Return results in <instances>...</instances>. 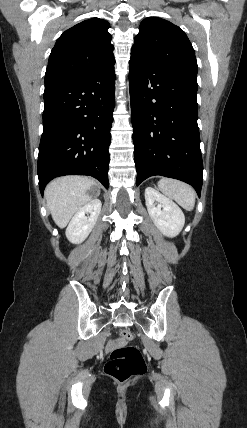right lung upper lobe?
<instances>
[{
    "instance_id": "1",
    "label": "right lung upper lobe",
    "mask_w": 247,
    "mask_h": 428,
    "mask_svg": "<svg viewBox=\"0 0 247 428\" xmlns=\"http://www.w3.org/2000/svg\"><path fill=\"white\" fill-rule=\"evenodd\" d=\"M109 27L92 18L65 31L51 51L45 87L82 78L114 60Z\"/></svg>"
}]
</instances>
